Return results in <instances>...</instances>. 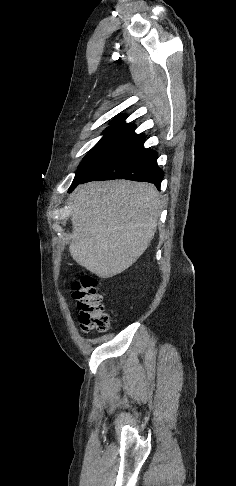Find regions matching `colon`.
<instances>
[{"instance_id": "1", "label": "colon", "mask_w": 236, "mask_h": 486, "mask_svg": "<svg viewBox=\"0 0 236 486\" xmlns=\"http://www.w3.org/2000/svg\"><path fill=\"white\" fill-rule=\"evenodd\" d=\"M97 279L83 274L72 284V297L79 308V326L85 333L92 331L105 332L110 320L104 310L102 296L97 290Z\"/></svg>"}]
</instances>
